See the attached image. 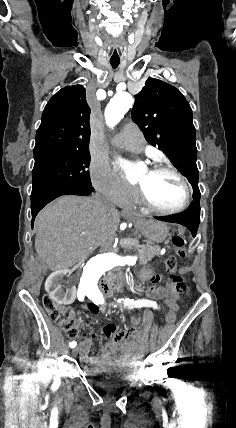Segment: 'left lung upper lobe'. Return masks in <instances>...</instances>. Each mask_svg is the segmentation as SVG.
<instances>
[{
    "label": "left lung upper lobe",
    "instance_id": "5c2ea615",
    "mask_svg": "<svg viewBox=\"0 0 236 428\" xmlns=\"http://www.w3.org/2000/svg\"><path fill=\"white\" fill-rule=\"evenodd\" d=\"M131 115L145 139L158 146L187 177L194 193L200 192L192 110L182 93L168 83L149 78L135 96Z\"/></svg>",
    "mask_w": 236,
    "mask_h": 428
}]
</instances>
